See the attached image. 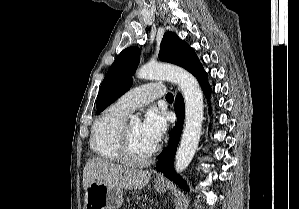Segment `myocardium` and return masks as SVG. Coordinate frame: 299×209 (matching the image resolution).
Segmentation results:
<instances>
[{"mask_svg":"<svg viewBox=\"0 0 299 209\" xmlns=\"http://www.w3.org/2000/svg\"><path fill=\"white\" fill-rule=\"evenodd\" d=\"M120 153L124 163L133 167H144L152 162L156 154V149L154 148L152 152L143 159H135L130 151L128 125H124L120 132Z\"/></svg>","mask_w":299,"mask_h":209,"instance_id":"1","label":"myocardium"}]
</instances>
